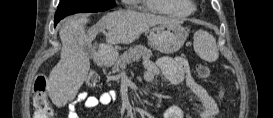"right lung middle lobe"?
<instances>
[{"label":"right lung middle lobe","instance_id":"right-lung-middle-lobe-1","mask_svg":"<svg viewBox=\"0 0 273 118\" xmlns=\"http://www.w3.org/2000/svg\"><path fill=\"white\" fill-rule=\"evenodd\" d=\"M114 6V0H61L56 14L66 16L82 12H100Z\"/></svg>","mask_w":273,"mask_h":118}]
</instances>
